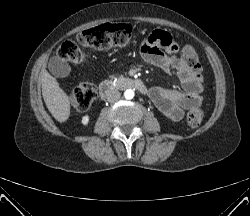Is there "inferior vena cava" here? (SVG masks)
Masks as SVG:
<instances>
[{"label":"inferior vena cava","instance_id":"inferior-vena-cava-1","mask_svg":"<svg viewBox=\"0 0 250 216\" xmlns=\"http://www.w3.org/2000/svg\"><path fill=\"white\" fill-rule=\"evenodd\" d=\"M121 93L118 90H111L107 93L108 102H116L120 99Z\"/></svg>","mask_w":250,"mask_h":216}]
</instances>
